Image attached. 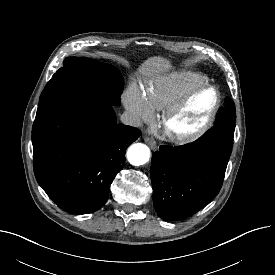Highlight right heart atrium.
<instances>
[{
	"mask_svg": "<svg viewBox=\"0 0 275 275\" xmlns=\"http://www.w3.org/2000/svg\"><path fill=\"white\" fill-rule=\"evenodd\" d=\"M126 110L135 121H146L152 117L144 94L135 86L130 87L123 98Z\"/></svg>",
	"mask_w": 275,
	"mask_h": 275,
	"instance_id": "d8ad5b80",
	"label": "right heart atrium"
}]
</instances>
